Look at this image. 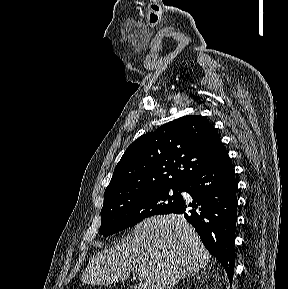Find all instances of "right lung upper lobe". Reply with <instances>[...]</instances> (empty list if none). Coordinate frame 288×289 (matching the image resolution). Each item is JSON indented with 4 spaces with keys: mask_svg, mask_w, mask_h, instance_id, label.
Returning a JSON list of instances; mask_svg holds the SVG:
<instances>
[{
    "mask_svg": "<svg viewBox=\"0 0 288 289\" xmlns=\"http://www.w3.org/2000/svg\"><path fill=\"white\" fill-rule=\"evenodd\" d=\"M226 149L201 116H184L133 142L115 167L104 198L152 188H181L212 166Z\"/></svg>",
    "mask_w": 288,
    "mask_h": 289,
    "instance_id": "1",
    "label": "right lung upper lobe"
}]
</instances>
